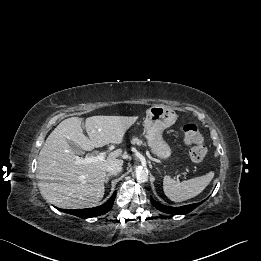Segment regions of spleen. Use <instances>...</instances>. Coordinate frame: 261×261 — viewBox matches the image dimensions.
<instances>
[{"mask_svg": "<svg viewBox=\"0 0 261 261\" xmlns=\"http://www.w3.org/2000/svg\"><path fill=\"white\" fill-rule=\"evenodd\" d=\"M214 172L206 175L185 180L182 182L165 176L163 179V190L165 195L174 202H181L199 195L211 182Z\"/></svg>", "mask_w": 261, "mask_h": 261, "instance_id": "1", "label": "spleen"}]
</instances>
